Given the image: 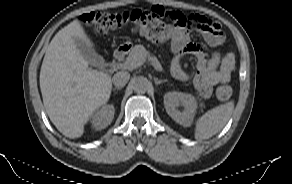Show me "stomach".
<instances>
[{
	"mask_svg": "<svg viewBox=\"0 0 292 184\" xmlns=\"http://www.w3.org/2000/svg\"><path fill=\"white\" fill-rule=\"evenodd\" d=\"M125 44H127V45H130V44H131V42H130V41H127Z\"/></svg>",
	"mask_w": 292,
	"mask_h": 184,
	"instance_id": "stomach-1",
	"label": "stomach"
}]
</instances>
